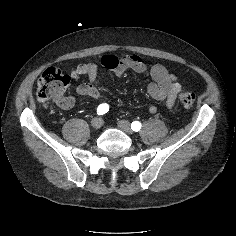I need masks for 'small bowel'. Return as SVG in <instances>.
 Segmentation results:
<instances>
[{
	"label": "small bowel",
	"instance_id": "obj_1",
	"mask_svg": "<svg viewBox=\"0 0 236 236\" xmlns=\"http://www.w3.org/2000/svg\"><path fill=\"white\" fill-rule=\"evenodd\" d=\"M101 63L108 70L112 71L113 75L116 77H120L128 70H132L147 77L150 80L147 87L148 94L157 101L165 102L168 108L174 105L176 97L182 88L178 79L163 65L154 64L149 66L138 55H126L121 58L104 56L101 59ZM98 74L99 65L95 62L82 63L73 69L70 73L73 80L79 81L83 76L87 78V82L77 86V95L99 99L101 93L96 87ZM74 104L75 98L70 96L64 98L59 106L63 109H70ZM148 111L154 114L157 112V107L150 105Z\"/></svg>",
	"mask_w": 236,
	"mask_h": 236
}]
</instances>
